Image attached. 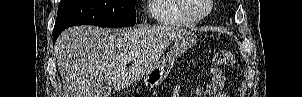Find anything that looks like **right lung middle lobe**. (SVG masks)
Wrapping results in <instances>:
<instances>
[{"label": "right lung middle lobe", "mask_w": 302, "mask_h": 97, "mask_svg": "<svg viewBox=\"0 0 302 97\" xmlns=\"http://www.w3.org/2000/svg\"><path fill=\"white\" fill-rule=\"evenodd\" d=\"M137 0H61L54 31L88 24L126 27L136 23Z\"/></svg>", "instance_id": "1"}]
</instances>
